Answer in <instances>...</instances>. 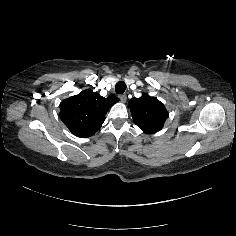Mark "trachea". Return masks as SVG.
Returning a JSON list of instances; mask_svg holds the SVG:
<instances>
[{"instance_id":"obj_1","label":"trachea","mask_w":236,"mask_h":236,"mask_svg":"<svg viewBox=\"0 0 236 236\" xmlns=\"http://www.w3.org/2000/svg\"><path fill=\"white\" fill-rule=\"evenodd\" d=\"M126 90V84L124 81H119L116 85H115V92L118 94H122L124 93Z\"/></svg>"}]
</instances>
